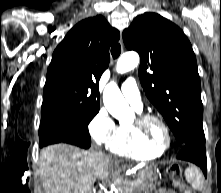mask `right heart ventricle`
<instances>
[{
    "instance_id": "obj_1",
    "label": "right heart ventricle",
    "mask_w": 221,
    "mask_h": 193,
    "mask_svg": "<svg viewBox=\"0 0 221 193\" xmlns=\"http://www.w3.org/2000/svg\"><path fill=\"white\" fill-rule=\"evenodd\" d=\"M108 148L117 156L136 159L153 158L162 154V151L142 139L133 124L120 125L116 138Z\"/></svg>"
}]
</instances>
